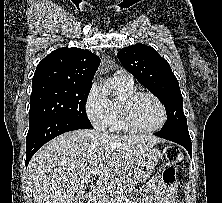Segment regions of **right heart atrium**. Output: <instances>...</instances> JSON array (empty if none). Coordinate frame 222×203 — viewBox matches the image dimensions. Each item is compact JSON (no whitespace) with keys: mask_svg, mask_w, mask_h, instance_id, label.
Listing matches in <instances>:
<instances>
[{"mask_svg":"<svg viewBox=\"0 0 222 203\" xmlns=\"http://www.w3.org/2000/svg\"><path fill=\"white\" fill-rule=\"evenodd\" d=\"M86 114L97 129H106L112 117V101L97 85H93L85 102Z\"/></svg>","mask_w":222,"mask_h":203,"instance_id":"right-heart-atrium-1","label":"right heart atrium"}]
</instances>
